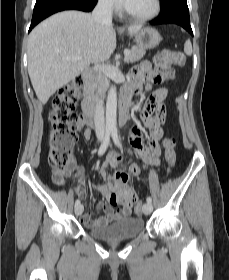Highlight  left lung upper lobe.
Listing matches in <instances>:
<instances>
[{
  "label": "left lung upper lobe",
  "mask_w": 229,
  "mask_h": 280,
  "mask_svg": "<svg viewBox=\"0 0 229 280\" xmlns=\"http://www.w3.org/2000/svg\"><path fill=\"white\" fill-rule=\"evenodd\" d=\"M162 4L165 5L167 2H169L170 0H161Z\"/></svg>",
  "instance_id": "5c2ea615"
}]
</instances>
